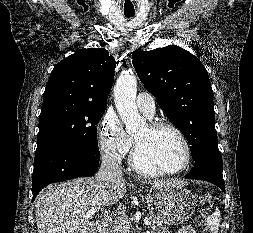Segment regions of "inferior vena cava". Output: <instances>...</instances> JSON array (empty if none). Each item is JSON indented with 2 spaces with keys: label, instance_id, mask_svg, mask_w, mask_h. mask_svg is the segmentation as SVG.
<instances>
[{
  "label": "inferior vena cava",
  "instance_id": "602c4592",
  "mask_svg": "<svg viewBox=\"0 0 253 233\" xmlns=\"http://www.w3.org/2000/svg\"><path fill=\"white\" fill-rule=\"evenodd\" d=\"M101 166L97 173V180L106 185L122 179V171L115 158L108 153L101 156Z\"/></svg>",
  "mask_w": 253,
  "mask_h": 233
}]
</instances>
